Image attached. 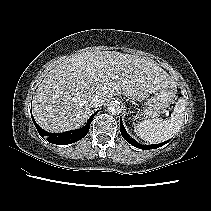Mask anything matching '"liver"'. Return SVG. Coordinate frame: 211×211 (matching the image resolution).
Returning <instances> with one entry per match:
<instances>
[{
    "label": "liver",
    "instance_id": "obj_1",
    "mask_svg": "<svg viewBox=\"0 0 211 211\" xmlns=\"http://www.w3.org/2000/svg\"><path fill=\"white\" fill-rule=\"evenodd\" d=\"M170 83L168 73L146 58L115 51L85 52L47 73L36 89L33 114L43 129L64 132L85 123L95 95L105 102L122 92L129 97Z\"/></svg>",
    "mask_w": 211,
    "mask_h": 211
}]
</instances>
